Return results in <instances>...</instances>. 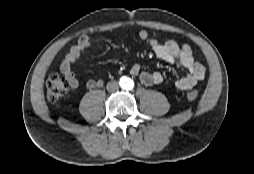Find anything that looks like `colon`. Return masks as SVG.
I'll return each instance as SVG.
<instances>
[{
    "label": "colon",
    "instance_id": "1",
    "mask_svg": "<svg viewBox=\"0 0 254 174\" xmlns=\"http://www.w3.org/2000/svg\"><path fill=\"white\" fill-rule=\"evenodd\" d=\"M69 82L66 78L58 73L49 75L46 81V96L50 102L60 100L68 91ZM186 97L190 101H195L198 98V93L190 90L186 93Z\"/></svg>",
    "mask_w": 254,
    "mask_h": 174
}]
</instances>
